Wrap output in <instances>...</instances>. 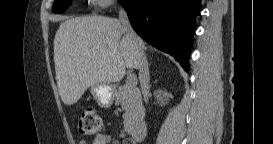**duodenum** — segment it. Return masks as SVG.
Listing matches in <instances>:
<instances>
[{
  "instance_id": "duodenum-1",
  "label": "duodenum",
  "mask_w": 273,
  "mask_h": 144,
  "mask_svg": "<svg viewBox=\"0 0 273 144\" xmlns=\"http://www.w3.org/2000/svg\"><path fill=\"white\" fill-rule=\"evenodd\" d=\"M132 139L135 142H142L147 136V127L144 122H138L129 128Z\"/></svg>"
}]
</instances>
